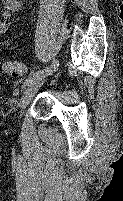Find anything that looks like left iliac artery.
I'll use <instances>...</instances> for the list:
<instances>
[{
	"label": "left iliac artery",
	"mask_w": 123,
	"mask_h": 201,
	"mask_svg": "<svg viewBox=\"0 0 123 201\" xmlns=\"http://www.w3.org/2000/svg\"><path fill=\"white\" fill-rule=\"evenodd\" d=\"M59 66V63L56 59L53 60V63L51 64V66L43 69V70H36V71H32L28 78L25 80V82L23 83V88L26 87L35 77L39 76V75H44L47 73H53L54 71L57 70Z\"/></svg>",
	"instance_id": "left-iliac-artery-1"
}]
</instances>
